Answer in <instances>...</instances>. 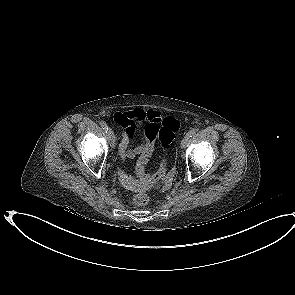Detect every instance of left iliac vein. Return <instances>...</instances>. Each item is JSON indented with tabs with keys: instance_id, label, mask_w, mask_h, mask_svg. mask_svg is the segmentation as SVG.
Instances as JSON below:
<instances>
[{
	"instance_id": "obj_1",
	"label": "left iliac vein",
	"mask_w": 295,
	"mask_h": 295,
	"mask_svg": "<svg viewBox=\"0 0 295 295\" xmlns=\"http://www.w3.org/2000/svg\"><path fill=\"white\" fill-rule=\"evenodd\" d=\"M189 141H190V137L186 135L181 141V144H180L181 148H185L188 145Z\"/></svg>"
}]
</instances>
